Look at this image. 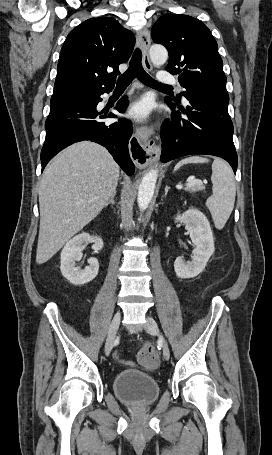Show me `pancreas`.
<instances>
[{
	"label": "pancreas",
	"instance_id": "obj_1",
	"mask_svg": "<svg viewBox=\"0 0 272 455\" xmlns=\"http://www.w3.org/2000/svg\"><path fill=\"white\" fill-rule=\"evenodd\" d=\"M186 190L191 192V193H194V192H197V191L204 190V187L203 186H194V187L187 188Z\"/></svg>",
	"mask_w": 272,
	"mask_h": 455
}]
</instances>
